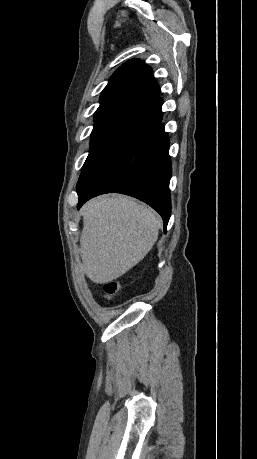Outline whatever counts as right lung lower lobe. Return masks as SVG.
<instances>
[{
	"mask_svg": "<svg viewBox=\"0 0 257 459\" xmlns=\"http://www.w3.org/2000/svg\"><path fill=\"white\" fill-rule=\"evenodd\" d=\"M161 106L162 99L133 114L107 147L82 169L76 187L78 208L100 194H126L154 208L162 216L166 231L171 215V161Z\"/></svg>",
	"mask_w": 257,
	"mask_h": 459,
	"instance_id": "obj_1",
	"label": "right lung lower lobe"
}]
</instances>
